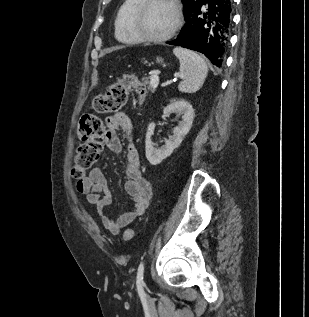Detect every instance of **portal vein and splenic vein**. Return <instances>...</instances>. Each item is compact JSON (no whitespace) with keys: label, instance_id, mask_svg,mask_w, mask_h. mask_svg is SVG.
<instances>
[{"label":"portal vein and splenic vein","instance_id":"18ae733b","mask_svg":"<svg viewBox=\"0 0 309 317\" xmlns=\"http://www.w3.org/2000/svg\"><path fill=\"white\" fill-rule=\"evenodd\" d=\"M160 73V71L156 70L154 72V75H152L151 77V84L156 88L159 84V77L158 74Z\"/></svg>","mask_w":309,"mask_h":317}]
</instances>
